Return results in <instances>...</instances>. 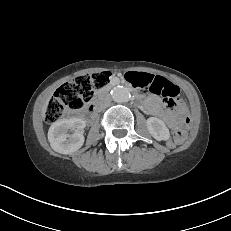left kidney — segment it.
Wrapping results in <instances>:
<instances>
[{
  "mask_svg": "<svg viewBox=\"0 0 231 231\" xmlns=\"http://www.w3.org/2000/svg\"><path fill=\"white\" fill-rule=\"evenodd\" d=\"M147 128L149 133L157 141H166L170 138V132L165 123L156 117L147 119Z\"/></svg>",
  "mask_w": 231,
  "mask_h": 231,
  "instance_id": "1",
  "label": "left kidney"
}]
</instances>
